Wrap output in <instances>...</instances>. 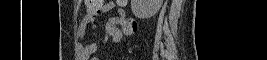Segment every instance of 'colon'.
<instances>
[{
	"label": "colon",
	"mask_w": 267,
	"mask_h": 60,
	"mask_svg": "<svg viewBox=\"0 0 267 60\" xmlns=\"http://www.w3.org/2000/svg\"><path fill=\"white\" fill-rule=\"evenodd\" d=\"M121 4H125L126 1H118ZM104 0H86V11L88 16H99L104 11ZM130 28L135 29L136 23L133 22L129 25Z\"/></svg>",
	"instance_id": "colon-1"
}]
</instances>
